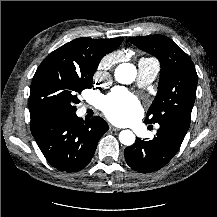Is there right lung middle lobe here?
I'll return each mask as SVG.
<instances>
[{
  "label": "right lung middle lobe",
  "instance_id": "right-lung-middle-lobe-1",
  "mask_svg": "<svg viewBox=\"0 0 217 217\" xmlns=\"http://www.w3.org/2000/svg\"><path fill=\"white\" fill-rule=\"evenodd\" d=\"M95 70H77L56 61H43L30 88L31 120L52 114H74L78 95L93 87Z\"/></svg>",
  "mask_w": 217,
  "mask_h": 217
}]
</instances>
